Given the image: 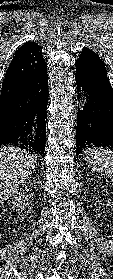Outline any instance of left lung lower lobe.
Returning a JSON list of instances; mask_svg holds the SVG:
<instances>
[{"mask_svg": "<svg viewBox=\"0 0 113 279\" xmlns=\"http://www.w3.org/2000/svg\"><path fill=\"white\" fill-rule=\"evenodd\" d=\"M75 65L77 89L86 92L77 115L76 153L92 146L113 149V88L106 67L96 53L84 49Z\"/></svg>", "mask_w": 113, "mask_h": 279, "instance_id": "obj_1", "label": "left lung lower lobe"}]
</instances>
